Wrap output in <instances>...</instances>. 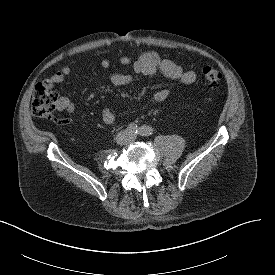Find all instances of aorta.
Returning a JSON list of instances; mask_svg holds the SVG:
<instances>
[{"label": "aorta", "mask_w": 275, "mask_h": 275, "mask_svg": "<svg viewBox=\"0 0 275 275\" xmlns=\"http://www.w3.org/2000/svg\"><path fill=\"white\" fill-rule=\"evenodd\" d=\"M144 132H145V134H148L150 132V129L147 128V129L144 130Z\"/></svg>", "instance_id": "obj_1"}]
</instances>
